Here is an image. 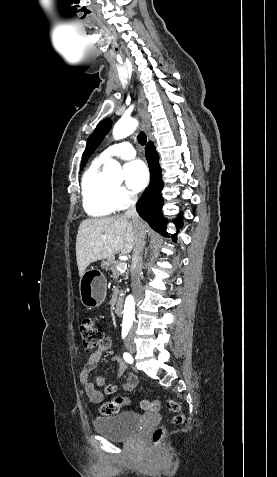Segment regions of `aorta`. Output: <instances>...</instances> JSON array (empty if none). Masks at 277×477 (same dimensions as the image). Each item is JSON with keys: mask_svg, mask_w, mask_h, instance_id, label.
<instances>
[{"mask_svg": "<svg viewBox=\"0 0 277 477\" xmlns=\"http://www.w3.org/2000/svg\"><path fill=\"white\" fill-rule=\"evenodd\" d=\"M138 126V121L134 118L120 119L113 128L114 139L120 140L131 133H133ZM103 173L105 176L117 182H122L124 179L121 166L116 160H111L109 163H106L103 167ZM135 317V302L133 296H127L124 305V315H123V327H130L133 323Z\"/></svg>", "mask_w": 277, "mask_h": 477, "instance_id": "aorta-1", "label": "aorta"}]
</instances>
